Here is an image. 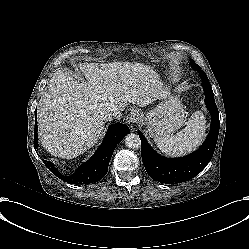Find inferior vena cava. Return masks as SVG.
<instances>
[{"mask_svg": "<svg viewBox=\"0 0 249 249\" xmlns=\"http://www.w3.org/2000/svg\"><path fill=\"white\" fill-rule=\"evenodd\" d=\"M121 116H122L121 111L117 107L111 106L108 109V112H107L108 120H113V119L120 120Z\"/></svg>", "mask_w": 249, "mask_h": 249, "instance_id": "602c4592", "label": "inferior vena cava"}]
</instances>
